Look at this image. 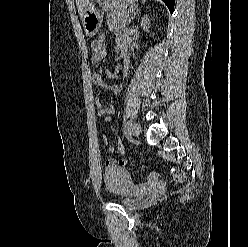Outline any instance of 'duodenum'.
I'll return each mask as SVG.
<instances>
[{
    "label": "duodenum",
    "mask_w": 248,
    "mask_h": 247,
    "mask_svg": "<svg viewBox=\"0 0 248 247\" xmlns=\"http://www.w3.org/2000/svg\"><path fill=\"white\" fill-rule=\"evenodd\" d=\"M122 57H123L124 60H127V59H128V54H127L126 52H124V53L122 54Z\"/></svg>",
    "instance_id": "410a0bca"
}]
</instances>
